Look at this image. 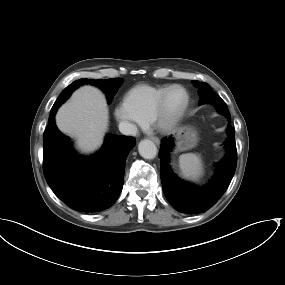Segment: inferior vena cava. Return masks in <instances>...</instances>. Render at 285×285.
Masks as SVG:
<instances>
[{
  "mask_svg": "<svg viewBox=\"0 0 285 285\" xmlns=\"http://www.w3.org/2000/svg\"><path fill=\"white\" fill-rule=\"evenodd\" d=\"M119 131L124 135L135 136L138 132L137 126L128 121H121L119 123Z\"/></svg>",
  "mask_w": 285,
  "mask_h": 285,
  "instance_id": "1",
  "label": "inferior vena cava"
}]
</instances>
